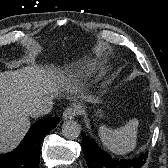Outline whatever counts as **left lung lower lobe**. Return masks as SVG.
<instances>
[{"label": "left lung lower lobe", "mask_w": 168, "mask_h": 168, "mask_svg": "<svg viewBox=\"0 0 168 168\" xmlns=\"http://www.w3.org/2000/svg\"><path fill=\"white\" fill-rule=\"evenodd\" d=\"M83 153L88 168H141L145 163L147 153L141 154L133 159L117 160L105 153L93 139H90L83 132Z\"/></svg>", "instance_id": "0a47b994"}]
</instances>
